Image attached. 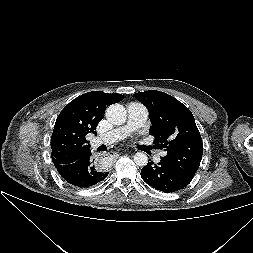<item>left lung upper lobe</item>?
Returning a JSON list of instances; mask_svg holds the SVG:
<instances>
[{
  "label": "left lung upper lobe",
  "mask_w": 253,
  "mask_h": 253,
  "mask_svg": "<svg viewBox=\"0 0 253 253\" xmlns=\"http://www.w3.org/2000/svg\"><path fill=\"white\" fill-rule=\"evenodd\" d=\"M134 96L149 111L154 143L166 151L161 160L192 180L201 162L203 143L191 111L164 92L149 90Z\"/></svg>",
  "instance_id": "5c2ea615"
}]
</instances>
